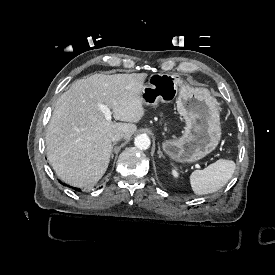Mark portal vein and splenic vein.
I'll return each instance as SVG.
<instances>
[{"label": "portal vein and splenic vein", "mask_w": 275, "mask_h": 275, "mask_svg": "<svg viewBox=\"0 0 275 275\" xmlns=\"http://www.w3.org/2000/svg\"><path fill=\"white\" fill-rule=\"evenodd\" d=\"M98 108L104 114L105 119L107 121H111V119H112V112H111V110L105 104H102V103L98 104ZM194 168H196L197 170H200L201 166H199V164H196V165H194Z\"/></svg>", "instance_id": "18ae733b"}]
</instances>
